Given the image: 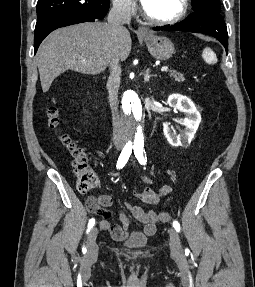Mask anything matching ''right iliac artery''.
<instances>
[{
    "mask_svg": "<svg viewBox=\"0 0 255 287\" xmlns=\"http://www.w3.org/2000/svg\"><path fill=\"white\" fill-rule=\"evenodd\" d=\"M131 152H132V147H125L119 158H118V161H117V168L118 169H121L125 166V164L127 163L130 155H131ZM95 224V219H90L89 223H88V229H87V232L90 231V229L94 226Z\"/></svg>",
    "mask_w": 255,
    "mask_h": 287,
    "instance_id": "obj_1",
    "label": "right iliac artery"
}]
</instances>
